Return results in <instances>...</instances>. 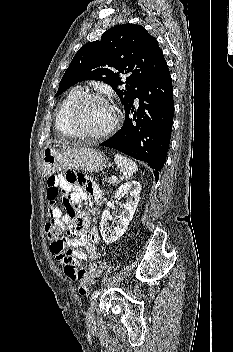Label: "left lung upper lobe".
<instances>
[{"label":"left lung upper lobe","instance_id":"1","mask_svg":"<svg viewBox=\"0 0 233 352\" xmlns=\"http://www.w3.org/2000/svg\"><path fill=\"white\" fill-rule=\"evenodd\" d=\"M166 65L157 40L143 26L116 25L103 33L100 40L79 49L55 97L80 81L101 80L114 89L125 108ZM120 74L127 75L125 88H120L124 84Z\"/></svg>","mask_w":233,"mask_h":352}]
</instances>
